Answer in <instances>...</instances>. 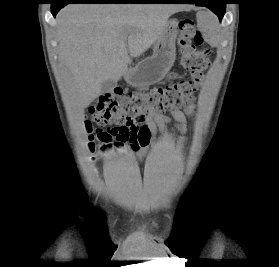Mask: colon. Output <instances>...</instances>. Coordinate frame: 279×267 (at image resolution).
<instances>
[{"label": "colon", "mask_w": 279, "mask_h": 267, "mask_svg": "<svg viewBox=\"0 0 279 267\" xmlns=\"http://www.w3.org/2000/svg\"><path fill=\"white\" fill-rule=\"evenodd\" d=\"M178 46L180 64L192 78L148 91L123 93L121 88L101 95L90 107L91 118L86 128L91 133L90 148L95 151L94 140L104 145L107 152L113 138L117 144L130 141L144 143L148 137L146 130L138 133L134 123L148 113L163 114L166 111L181 109L193 98L201 82L202 74L208 67V50L201 49L203 38L191 19H182L178 24ZM93 124L97 126L94 129Z\"/></svg>", "instance_id": "5ec220e1"}]
</instances>
